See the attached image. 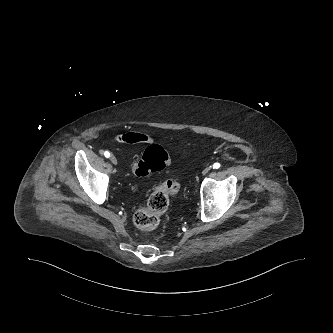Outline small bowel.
Returning a JSON list of instances; mask_svg holds the SVG:
<instances>
[{
  "mask_svg": "<svg viewBox=\"0 0 333 333\" xmlns=\"http://www.w3.org/2000/svg\"><path fill=\"white\" fill-rule=\"evenodd\" d=\"M115 140L122 144H150L154 142L152 136L141 132H124L117 135Z\"/></svg>",
  "mask_w": 333,
  "mask_h": 333,
  "instance_id": "c3829d8e",
  "label": "small bowel"
}]
</instances>
